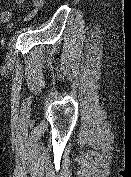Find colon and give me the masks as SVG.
Returning a JSON list of instances; mask_svg holds the SVG:
<instances>
[{
	"mask_svg": "<svg viewBox=\"0 0 131 177\" xmlns=\"http://www.w3.org/2000/svg\"><path fill=\"white\" fill-rule=\"evenodd\" d=\"M39 3H40L41 5H43V4H44V0H39Z\"/></svg>",
	"mask_w": 131,
	"mask_h": 177,
	"instance_id": "obj_1",
	"label": "colon"
}]
</instances>
